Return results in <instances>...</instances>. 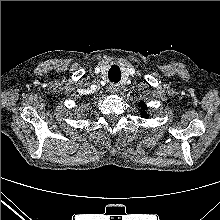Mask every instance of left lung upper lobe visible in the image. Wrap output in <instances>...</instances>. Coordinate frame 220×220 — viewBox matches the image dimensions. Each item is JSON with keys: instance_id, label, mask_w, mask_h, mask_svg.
<instances>
[{"instance_id": "1", "label": "left lung upper lobe", "mask_w": 220, "mask_h": 220, "mask_svg": "<svg viewBox=\"0 0 220 220\" xmlns=\"http://www.w3.org/2000/svg\"><path fill=\"white\" fill-rule=\"evenodd\" d=\"M140 107L143 110V111H141L142 117L148 118V114H147V112H145V110H147L146 104L144 102H141Z\"/></svg>"}]
</instances>
